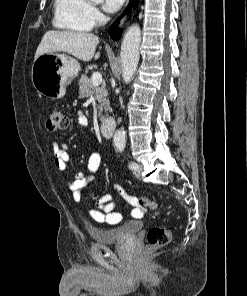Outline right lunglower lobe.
Listing matches in <instances>:
<instances>
[{
	"label": "right lung lower lobe",
	"mask_w": 247,
	"mask_h": 296,
	"mask_svg": "<svg viewBox=\"0 0 247 296\" xmlns=\"http://www.w3.org/2000/svg\"><path fill=\"white\" fill-rule=\"evenodd\" d=\"M138 0H130L127 11H130L133 5H136ZM119 19L110 27L109 34L112 39L117 40L120 38L121 33L117 30Z\"/></svg>",
	"instance_id": "right-lung-lower-lobe-1"
}]
</instances>
